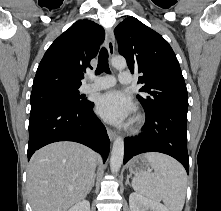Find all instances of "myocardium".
<instances>
[{
  "mask_svg": "<svg viewBox=\"0 0 221 211\" xmlns=\"http://www.w3.org/2000/svg\"><path fill=\"white\" fill-rule=\"evenodd\" d=\"M143 122V117L138 114L135 116L134 120H133V128L136 129L138 128Z\"/></svg>",
  "mask_w": 221,
  "mask_h": 211,
  "instance_id": "obj_1",
  "label": "myocardium"
}]
</instances>
